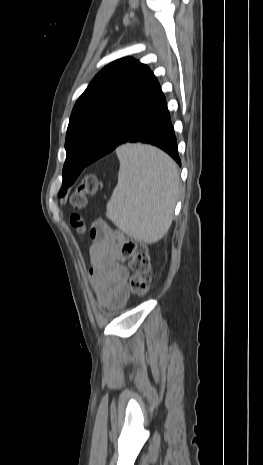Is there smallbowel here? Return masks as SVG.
Returning a JSON list of instances; mask_svg holds the SVG:
<instances>
[{"label":"small bowel","mask_w":263,"mask_h":465,"mask_svg":"<svg viewBox=\"0 0 263 465\" xmlns=\"http://www.w3.org/2000/svg\"><path fill=\"white\" fill-rule=\"evenodd\" d=\"M90 281L98 301L107 308H122L129 296L128 269L121 263L123 256L106 228L96 226L91 231Z\"/></svg>","instance_id":"1"}]
</instances>
